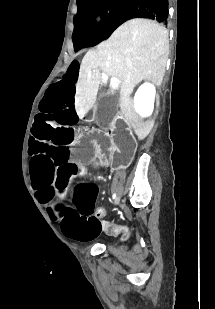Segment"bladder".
Listing matches in <instances>:
<instances>
[{"label": "bladder", "instance_id": "obj_1", "mask_svg": "<svg viewBox=\"0 0 215 309\" xmlns=\"http://www.w3.org/2000/svg\"><path fill=\"white\" fill-rule=\"evenodd\" d=\"M122 249H126V247H125V246H122Z\"/></svg>", "mask_w": 215, "mask_h": 309}]
</instances>
